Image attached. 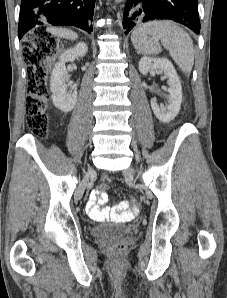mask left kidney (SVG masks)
<instances>
[{
  "label": "left kidney",
  "mask_w": 227,
  "mask_h": 298,
  "mask_svg": "<svg viewBox=\"0 0 227 298\" xmlns=\"http://www.w3.org/2000/svg\"><path fill=\"white\" fill-rule=\"evenodd\" d=\"M159 69L168 77L169 100L166 106H159L155 99L151 100V108L155 116L163 123L173 120L180 111L182 102V87L177 72L172 63L166 58L142 57L139 70L142 74Z\"/></svg>",
  "instance_id": "1"
}]
</instances>
